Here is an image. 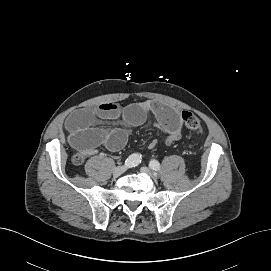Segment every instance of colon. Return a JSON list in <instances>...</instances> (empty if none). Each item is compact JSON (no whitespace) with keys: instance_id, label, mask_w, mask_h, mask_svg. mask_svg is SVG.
Instances as JSON below:
<instances>
[{"instance_id":"colon-1","label":"colon","mask_w":271,"mask_h":271,"mask_svg":"<svg viewBox=\"0 0 271 271\" xmlns=\"http://www.w3.org/2000/svg\"><path fill=\"white\" fill-rule=\"evenodd\" d=\"M181 117H182L184 125L187 129L192 130V131H196V130L200 129V127H201L200 120L193 113H191L189 111H183L181 114ZM74 162L76 164H81L83 162V156L76 155L74 158Z\"/></svg>"}]
</instances>
